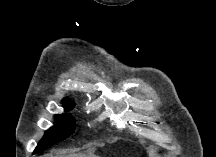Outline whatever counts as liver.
Here are the masks:
<instances>
[{"label": "liver", "instance_id": "1", "mask_svg": "<svg viewBox=\"0 0 216 157\" xmlns=\"http://www.w3.org/2000/svg\"><path fill=\"white\" fill-rule=\"evenodd\" d=\"M48 157H53L52 155H49ZM59 157H64V156H59ZM70 157H84L82 154H73Z\"/></svg>", "mask_w": 216, "mask_h": 157}]
</instances>
